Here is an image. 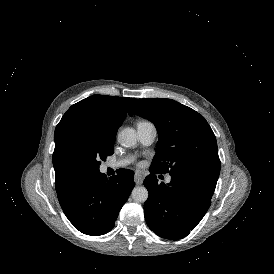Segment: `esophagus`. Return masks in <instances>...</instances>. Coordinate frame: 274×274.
Returning a JSON list of instances; mask_svg holds the SVG:
<instances>
[{
    "mask_svg": "<svg viewBox=\"0 0 274 274\" xmlns=\"http://www.w3.org/2000/svg\"><path fill=\"white\" fill-rule=\"evenodd\" d=\"M143 179H144V176L142 175V173L136 171L135 172V175H134V181L137 185H140L143 183Z\"/></svg>",
    "mask_w": 274,
    "mask_h": 274,
    "instance_id": "esophagus-1",
    "label": "esophagus"
}]
</instances>
